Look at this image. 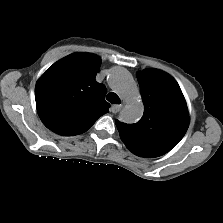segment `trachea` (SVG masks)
Segmentation results:
<instances>
[{
	"label": "trachea",
	"instance_id": "obj_1",
	"mask_svg": "<svg viewBox=\"0 0 223 223\" xmlns=\"http://www.w3.org/2000/svg\"><path fill=\"white\" fill-rule=\"evenodd\" d=\"M106 99L112 104H120V98L115 93L111 92L106 96Z\"/></svg>",
	"mask_w": 223,
	"mask_h": 223
}]
</instances>
